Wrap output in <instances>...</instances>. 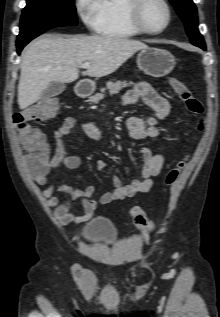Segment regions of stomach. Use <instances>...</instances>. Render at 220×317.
<instances>
[{"instance_id": "stomach-1", "label": "stomach", "mask_w": 220, "mask_h": 317, "mask_svg": "<svg viewBox=\"0 0 220 317\" xmlns=\"http://www.w3.org/2000/svg\"><path fill=\"white\" fill-rule=\"evenodd\" d=\"M137 65L146 74L153 77H163L175 67V58L167 50L147 47L137 55ZM95 83H89V92H93Z\"/></svg>"}]
</instances>
